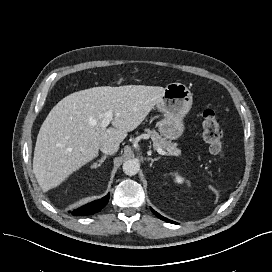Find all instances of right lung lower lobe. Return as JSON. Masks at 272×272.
Masks as SVG:
<instances>
[{"instance_id": "right-lung-lower-lobe-1", "label": "right lung lower lobe", "mask_w": 272, "mask_h": 272, "mask_svg": "<svg viewBox=\"0 0 272 272\" xmlns=\"http://www.w3.org/2000/svg\"><path fill=\"white\" fill-rule=\"evenodd\" d=\"M110 194L108 193L102 199H98L91 203H88L74 211H72V215L74 216H85V215H92L98 211H100L105 205L108 203Z\"/></svg>"}]
</instances>
